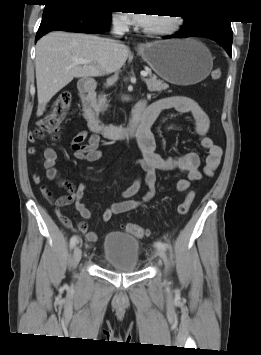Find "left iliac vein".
<instances>
[{
  "label": "left iliac vein",
  "mask_w": 261,
  "mask_h": 355,
  "mask_svg": "<svg viewBox=\"0 0 261 355\" xmlns=\"http://www.w3.org/2000/svg\"><path fill=\"white\" fill-rule=\"evenodd\" d=\"M157 255L160 257V259L163 261V262H166L167 261V255L165 253V251L163 249H160L158 248L157 249Z\"/></svg>",
  "instance_id": "1"
}]
</instances>
